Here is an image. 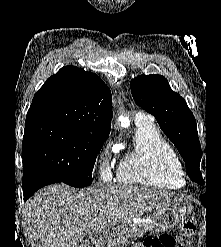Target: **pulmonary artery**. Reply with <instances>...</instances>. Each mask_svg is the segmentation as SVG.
<instances>
[{
    "label": "pulmonary artery",
    "instance_id": "e3ab8cb5",
    "mask_svg": "<svg viewBox=\"0 0 221 247\" xmlns=\"http://www.w3.org/2000/svg\"><path fill=\"white\" fill-rule=\"evenodd\" d=\"M144 117H146V116L142 112H137L136 116H135V119L137 121V120L142 119Z\"/></svg>",
    "mask_w": 221,
    "mask_h": 247
}]
</instances>
